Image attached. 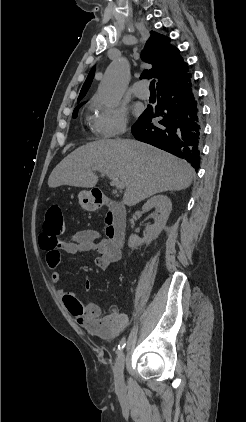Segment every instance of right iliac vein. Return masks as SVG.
Segmentation results:
<instances>
[{
    "label": "right iliac vein",
    "mask_w": 246,
    "mask_h": 422,
    "mask_svg": "<svg viewBox=\"0 0 246 422\" xmlns=\"http://www.w3.org/2000/svg\"><path fill=\"white\" fill-rule=\"evenodd\" d=\"M125 364V354L124 352H121L116 360L115 366H114V380L115 385L118 390H121L123 388V369Z\"/></svg>",
    "instance_id": "obj_1"
}]
</instances>
